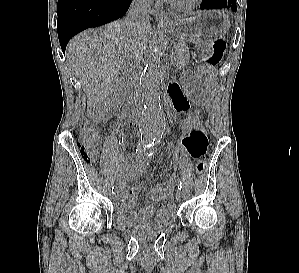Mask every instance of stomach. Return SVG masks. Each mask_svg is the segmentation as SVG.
I'll return each instance as SVG.
<instances>
[{
  "label": "stomach",
  "mask_w": 299,
  "mask_h": 273,
  "mask_svg": "<svg viewBox=\"0 0 299 273\" xmlns=\"http://www.w3.org/2000/svg\"><path fill=\"white\" fill-rule=\"evenodd\" d=\"M230 27L229 17L222 11H201L193 16L170 22L166 30L184 42L192 43L195 55H206L212 48V41L226 34ZM196 61H207V56H196ZM210 62H201L197 69L181 73L185 90L190 96L188 101L197 103L205 100L211 90L212 74H219V69H208Z\"/></svg>",
  "instance_id": "0dacf381"
}]
</instances>
